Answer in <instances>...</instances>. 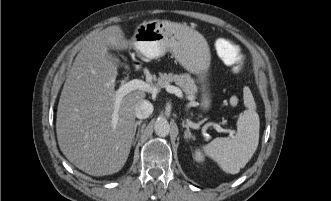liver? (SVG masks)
Segmentation results:
<instances>
[{"label": "liver", "mask_w": 331, "mask_h": 201, "mask_svg": "<svg viewBox=\"0 0 331 201\" xmlns=\"http://www.w3.org/2000/svg\"><path fill=\"white\" fill-rule=\"evenodd\" d=\"M128 46L119 25L101 30L77 54L61 92L56 118L59 147L89 175L120 171L130 153L135 108L146 94L136 90L124 96L113 127L118 64L107 55L110 48L125 50Z\"/></svg>", "instance_id": "6515ba94"}]
</instances>
